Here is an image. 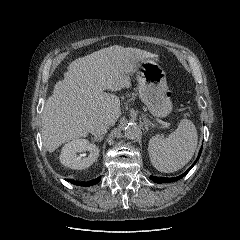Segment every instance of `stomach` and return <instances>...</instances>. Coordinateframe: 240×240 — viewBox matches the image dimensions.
I'll return each instance as SVG.
<instances>
[{"mask_svg":"<svg viewBox=\"0 0 240 240\" xmlns=\"http://www.w3.org/2000/svg\"><path fill=\"white\" fill-rule=\"evenodd\" d=\"M136 75L139 96L150 113L156 118L167 116L172 110V103L166 96L168 87L162 67L151 59H145L138 64Z\"/></svg>","mask_w":240,"mask_h":240,"instance_id":"0dacf381","label":"stomach"}]
</instances>
